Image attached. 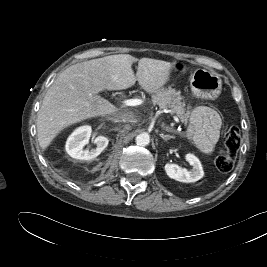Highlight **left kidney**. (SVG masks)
I'll use <instances>...</instances> for the list:
<instances>
[{
	"instance_id": "obj_1",
	"label": "left kidney",
	"mask_w": 267,
	"mask_h": 267,
	"mask_svg": "<svg viewBox=\"0 0 267 267\" xmlns=\"http://www.w3.org/2000/svg\"><path fill=\"white\" fill-rule=\"evenodd\" d=\"M185 159L192 166L191 170L181 168L177 164L167 163L164 167L166 174L170 178L183 183H191L200 180L204 176L200 160L191 153L186 154Z\"/></svg>"
}]
</instances>
